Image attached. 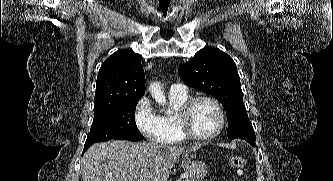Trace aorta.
Instances as JSON below:
<instances>
[{
    "label": "aorta",
    "mask_w": 333,
    "mask_h": 181,
    "mask_svg": "<svg viewBox=\"0 0 333 181\" xmlns=\"http://www.w3.org/2000/svg\"><path fill=\"white\" fill-rule=\"evenodd\" d=\"M149 91L157 103L159 104L166 103V97L164 91L159 83H151L149 86Z\"/></svg>",
    "instance_id": "obj_1"
}]
</instances>
